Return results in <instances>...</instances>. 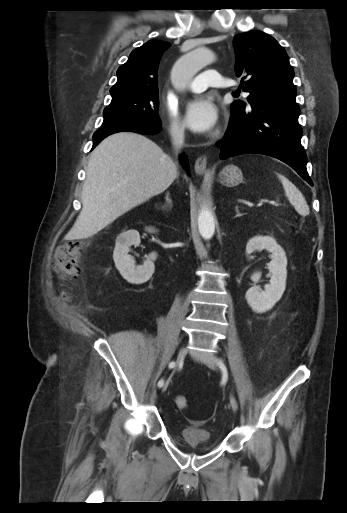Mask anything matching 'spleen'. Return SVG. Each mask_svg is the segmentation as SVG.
Here are the masks:
<instances>
[{
	"label": "spleen",
	"mask_w": 347,
	"mask_h": 513,
	"mask_svg": "<svg viewBox=\"0 0 347 513\" xmlns=\"http://www.w3.org/2000/svg\"><path fill=\"white\" fill-rule=\"evenodd\" d=\"M277 177L283 185L285 194L295 210L302 216L310 213L309 206L301 191L284 175L277 173Z\"/></svg>",
	"instance_id": "spleen-1"
}]
</instances>
